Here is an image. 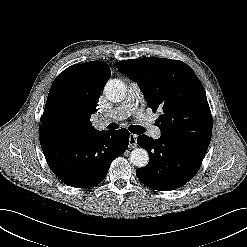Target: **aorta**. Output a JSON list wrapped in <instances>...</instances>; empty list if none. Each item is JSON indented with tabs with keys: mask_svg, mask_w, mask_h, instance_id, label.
Wrapping results in <instances>:
<instances>
[{
	"mask_svg": "<svg viewBox=\"0 0 247 247\" xmlns=\"http://www.w3.org/2000/svg\"><path fill=\"white\" fill-rule=\"evenodd\" d=\"M126 85L122 80L111 79L104 86V93L108 100L120 102L126 96ZM130 161L137 167H144L149 162L148 152L143 148H135L130 153Z\"/></svg>",
	"mask_w": 247,
	"mask_h": 247,
	"instance_id": "aorta-1",
	"label": "aorta"
}]
</instances>
